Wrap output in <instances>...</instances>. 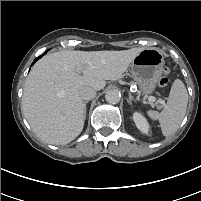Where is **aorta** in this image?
<instances>
[{"mask_svg": "<svg viewBox=\"0 0 201 201\" xmlns=\"http://www.w3.org/2000/svg\"><path fill=\"white\" fill-rule=\"evenodd\" d=\"M121 95L116 90H109L105 94V99L110 104H117L120 102Z\"/></svg>", "mask_w": 201, "mask_h": 201, "instance_id": "obj_1", "label": "aorta"}]
</instances>
